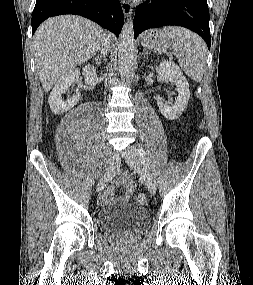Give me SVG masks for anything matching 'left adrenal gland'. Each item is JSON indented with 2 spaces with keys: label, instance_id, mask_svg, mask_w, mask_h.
I'll return each instance as SVG.
<instances>
[{
  "label": "left adrenal gland",
  "instance_id": "1",
  "mask_svg": "<svg viewBox=\"0 0 253 285\" xmlns=\"http://www.w3.org/2000/svg\"><path fill=\"white\" fill-rule=\"evenodd\" d=\"M146 54H148V52H147L146 50H144V51L141 53V57H142V56L145 57Z\"/></svg>",
  "mask_w": 253,
  "mask_h": 285
}]
</instances>
